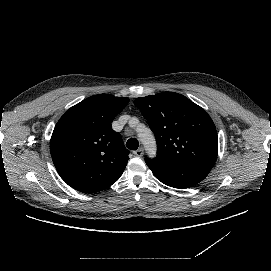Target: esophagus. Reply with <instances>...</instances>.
<instances>
[{
  "instance_id": "1",
  "label": "esophagus",
  "mask_w": 271,
  "mask_h": 271,
  "mask_svg": "<svg viewBox=\"0 0 271 271\" xmlns=\"http://www.w3.org/2000/svg\"><path fill=\"white\" fill-rule=\"evenodd\" d=\"M133 154L136 156V157H142L143 154H144V149L143 147H140L138 148L137 150L133 151Z\"/></svg>"
}]
</instances>
